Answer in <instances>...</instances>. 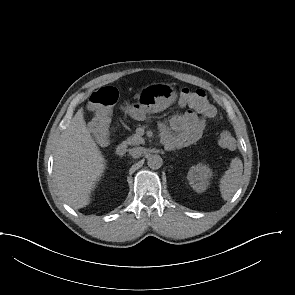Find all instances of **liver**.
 <instances>
[{
    "instance_id": "liver-1",
    "label": "liver",
    "mask_w": 295,
    "mask_h": 295,
    "mask_svg": "<svg viewBox=\"0 0 295 295\" xmlns=\"http://www.w3.org/2000/svg\"><path fill=\"white\" fill-rule=\"evenodd\" d=\"M105 168L106 160L86 127L81 108L60 135L54 153V179L64 201L74 209L89 205Z\"/></svg>"
}]
</instances>
